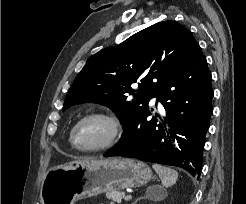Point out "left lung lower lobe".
I'll list each match as a JSON object with an SVG mask.
<instances>
[{
	"mask_svg": "<svg viewBox=\"0 0 246 204\" xmlns=\"http://www.w3.org/2000/svg\"><path fill=\"white\" fill-rule=\"evenodd\" d=\"M211 73L197 44L187 59L153 92L165 111L151 115L147 106L125 128L117 145L104 154L178 166L201 174L205 135L213 112ZM153 110V109H151Z\"/></svg>",
	"mask_w": 246,
	"mask_h": 204,
	"instance_id": "left-lung-lower-lobe-1",
	"label": "left lung lower lobe"
}]
</instances>
